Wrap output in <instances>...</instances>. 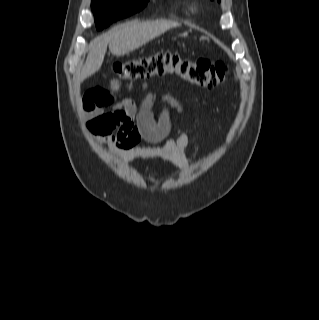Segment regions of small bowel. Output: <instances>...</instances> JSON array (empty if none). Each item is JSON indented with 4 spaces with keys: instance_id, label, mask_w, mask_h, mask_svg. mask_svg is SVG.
Segmentation results:
<instances>
[{
    "instance_id": "obj_1",
    "label": "small bowel",
    "mask_w": 319,
    "mask_h": 320,
    "mask_svg": "<svg viewBox=\"0 0 319 320\" xmlns=\"http://www.w3.org/2000/svg\"><path fill=\"white\" fill-rule=\"evenodd\" d=\"M170 102H174L167 97ZM152 97L148 96L138 109L130 98L118 102L114 100L113 92L95 87L86 92L83 100V110L87 116L86 128L95 138L107 145L108 151L126 162L135 160L148 161L161 159L177 170L187 166L186 150L190 145L192 135L181 128L176 129L174 136L161 146H135L126 143L125 136L117 130L124 118L132 121L149 120L157 127L170 129L169 115L162 112L155 121L151 113Z\"/></svg>"
}]
</instances>
